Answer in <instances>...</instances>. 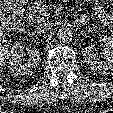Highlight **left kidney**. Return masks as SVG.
I'll return each mask as SVG.
<instances>
[{
  "label": "left kidney",
  "instance_id": "1",
  "mask_svg": "<svg viewBox=\"0 0 113 113\" xmlns=\"http://www.w3.org/2000/svg\"><path fill=\"white\" fill-rule=\"evenodd\" d=\"M101 43L102 54L104 56L103 60H96L92 53L91 47H85L83 49V58L85 63L92 70H113V39L109 37H104Z\"/></svg>",
  "mask_w": 113,
  "mask_h": 113
}]
</instances>
